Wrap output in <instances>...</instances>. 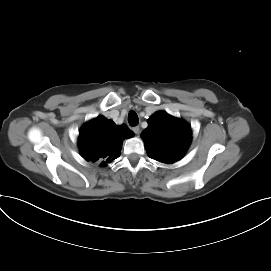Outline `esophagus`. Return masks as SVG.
<instances>
[{"instance_id":"34e87169","label":"esophagus","mask_w":271,"mask_h":271,"mask_svg":"<svg viewBox=\"0 0 271 271\" xmlns=\"http://www.w3.org/2000/svg\"><path fill=\"white\" fill-rule=\"evenodd\" d=\"M132 130L134 131V133H135L136 135H138V134L140 133V128H139V126L133 127Z\"/></svg>"}]
</instances>
